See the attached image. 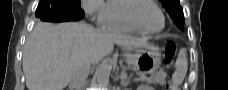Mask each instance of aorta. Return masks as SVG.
Here are the masks:
<instances>
[{"mask_svg":"<svg viewBox=\"0 0 228 90\" xmlns=\"http://www.w3.org/2000/svg\"><path fill=\"white\" fill-rule=\"evenodd\" d=\"M112 66L108 62H103L96 71V78L99 84L108 82Z\"/></svg>","mask_w":228,"mask_h":90,"instance_id":"762f6f07","label":"aorta"}]
</instances>
